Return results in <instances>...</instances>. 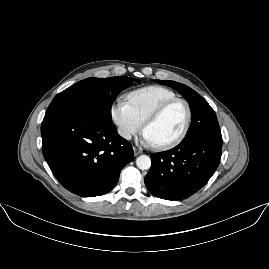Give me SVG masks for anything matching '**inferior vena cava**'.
I'll list each match as a JSON object with an SVG mask.
<instances>
[{
  "instance_id": "602c4592",
  "label": "inferior vena cava",
  "mask_w": 269,
  "mask_h": 269,
  "mask_svg": "<svg viewBox=\"0 0 269 269\" xmlns=\"http://www.w3.org/2000/svg\"><path fill=\"white\" fill-rule=\"evenodd\" d=\"M118 133L121 137L130 140L132 138L131 132L129 130H126L124 128H119Z\"/></svg>"
}]
</instances>
